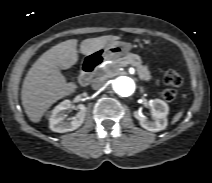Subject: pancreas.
Segmentation results:
<instances>
[{
	"mask_svg": "<svg viewBox=\"0 0 212 183\" xmlns=\"http://www.w3.org/2000/svg\"><path fill=\"white\" fill-rule=\"evenodd\" d=\"M134 66L137 70V73L139 75V78L144 81L151 80V73L148 69L147 65L142 64L141 57L137 54L129 53L125 55L124 57H119L112 59V63L106 65L103 70L106 73H110L112 71H116L119 67H125V66Z\"/></svg>",
	"mask_w": 212,
	"mask_h": 183,
	"instance_id": "cf45deb5",
	"label": "pancreas"
}]
</instances>
